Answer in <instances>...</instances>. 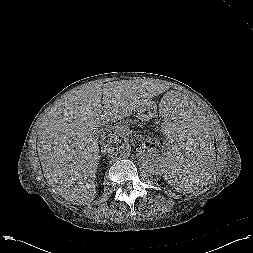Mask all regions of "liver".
Here are the masks:
<instances>
[{
    "mask_svg": "<svg viewBox=\"0 0 253 253\" xmlns=\"http://www.w3.org/2000/svg\"><path fill=\"white\" fill-rule=\"evenodd\" d=\"M155 95L144 82L120 81L87 86L57 104L40 124L38 154L48 184L73 204L92 202L100 160L94 130L131 116Z\"/></svg>",
    "mask_w": 253,
    "mask_h": 253,
    "instance_id": "liver-1",
    "label": "liver"
}]
</instances>
